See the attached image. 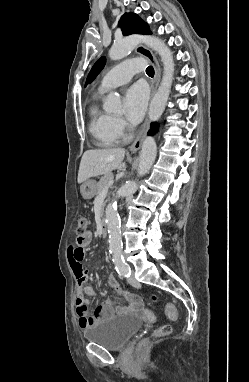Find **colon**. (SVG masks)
Masks as SVG:
<instances>
[{
  "mask_svg": "<svg viewBox=\"0 0 249 382\" xmlns=\"http://www.w3.org/2000/svg\"><path fill=\"white\" fill-rule=\"evenodd\" d=\"M87 226H88V221L86 219V217L84 216H80L79 217V220H78V228H77V239L78 241H83L84 238H85V235L87 233ZM77 275L79 277H86L88 275V272L86 270V268L82 265V262H81V265L77 267ZM141 312L143 313V315L145 316V318L149 321H153L154 320V315L148 311L147 309H144V308H141ZM166 314L167 316L171 319V320H174L176 318V307L175 305L173 304H167L166 305ZM171 332V327L169 325H163L161 327H159L155 332H154V336H164V335H167ZM147 342L144 341L143 342V345H145Z\"/></svg>",
  "mask_w": 249,
  "mask_h": 382,
  "instance_id": "colon-1",
  "label": "colon"
}]
</instances>
